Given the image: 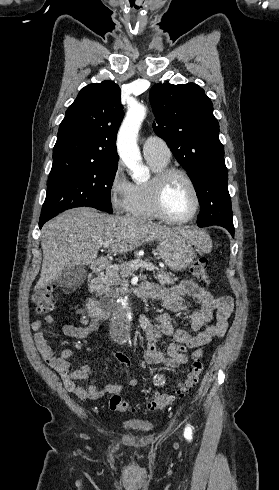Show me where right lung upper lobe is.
I'll use <instances>...</instances> for the list:
<instances>
[{"mask_svg": "<svg viewBox=\"0 0 279 490\" xmlns=\"http://www.w3.org/2000/svg\"><path fill=\"white\" fill-rule=\"evenodd\" d=\"M122 118L117 84L103 81L84 87L60 124L53 149V165L83 160H118L115 142Z\"/></svg>", "mask_w": 279, "mask_h": 490, "instance_id": "obj_1", "label": "right lung upper lobe"}]
</instances>
